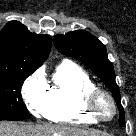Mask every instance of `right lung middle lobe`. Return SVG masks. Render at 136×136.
<instances>
[{"label": "right lung middle lobe", "instance_id": "dd1d6c3e", "mask_svg": "<svg viewBox=\"0 0 136 136\" xmlns=\"http://www.w3.org/2000/svg\"><path fill=\"white\" fill-rule=\"evenodd\" d=\"M32 73H0V121L24 120L29 117L21 98V86Z\"/></svg>", "mask_w": 136, "mask_h": 136}]
</instances>
